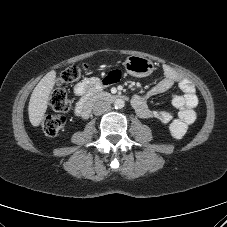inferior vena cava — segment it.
Segmentation results:
<instances>
[{
  "instance_id": "inferior-vena-cava-1",
  "label": "inferior vena cava",
  "mask_w": 227,
  "mask_h": 227,
  "mask_svg": "<svg viewBox=\"0 0 227 227\" xmlns=\"http://www.w3.org/2000/svg\"><path fill=\"white\" fill-rule=\"evenodd\" d=\"M111 110V105L105 101H98L93 106V113L95 115H102Z\"/></svg>"
}]
</instances>
